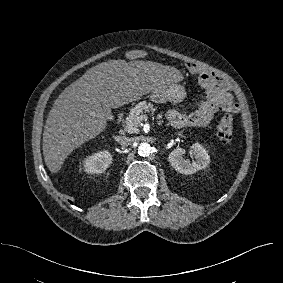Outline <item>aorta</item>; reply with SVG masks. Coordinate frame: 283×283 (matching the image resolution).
Returning a JSON list of instances; mask_svg holds the SVG:
<instances>
[{"label": "aorta", "mask_w": 283, "mask_h": 283, "mask_svg": "<svg viewBox=\"0 0 283 283\" xmlns=\"http://www.w3.org/2000/svg\"><path fill=\"white\" fill-rule=\"evenodd\" d=\"M151 153V146L148 143H141L138 146V154L142 157H147Z\"/></svg>", "instance_id": "762f6f07"}]
</instances>
